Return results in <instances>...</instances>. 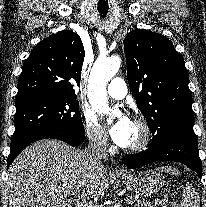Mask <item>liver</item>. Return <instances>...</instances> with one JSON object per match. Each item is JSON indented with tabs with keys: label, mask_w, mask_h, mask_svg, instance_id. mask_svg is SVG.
I'll list each match as a JSON object with an SVG mask.
<instances>
[{
	"label": "liver",
	"mask_w": 206,
	"mask_h": 207,
	"mask_svg": "<svg viewBox=\"0 0 206 207\" xmlns=\"http://www.w3.org/2000/svg\"><path fill=\"white\" fill-rule=\"evenodd\" d=\"M8 176L11 207H72L102 197L110 184L105 168L90 166L86 151L55 139L28 146Z\"/></svg>",
	"instance_id": "liver-1"
}]
</instances>
